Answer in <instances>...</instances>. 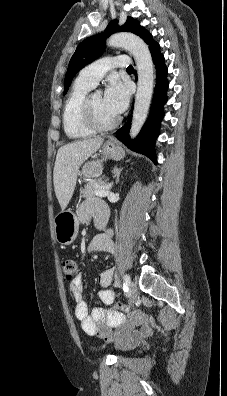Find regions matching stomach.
Listing matches in <instances>:
<instances>
[{"label":"stomach","instance_id":"1","mask_svg":"<svg viewBox=\"0 0 227 396\" xmlns=\"http://www.w3.org/2000/svg\"><path fill=\"white\" fill-rule=\"evenodd\" d=\"M102 160L89 161L84 164L80 172L85 178H97L103 171V160L111 158L120 160L125 152L121 146L115 142L107 141L102 149ZM54 232L56 240L62 245H70L78 235L79 221L77 216L71 211H61L54 218Z\"/></svg>","mask_w":227,"mask_h":396}]
</instances>
